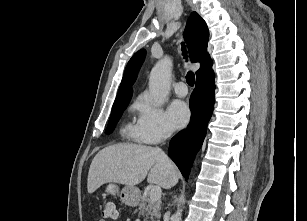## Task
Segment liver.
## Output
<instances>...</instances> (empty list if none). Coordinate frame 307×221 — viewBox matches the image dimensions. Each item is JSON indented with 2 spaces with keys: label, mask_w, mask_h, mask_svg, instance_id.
<instances>
[{
  "label": "liver",
  "mask_w": 307,
  "mask_h": 221,
  "mask_svg": "<svg viewBox=\"0 0 307 221\" xmlns=\"http://www.w3.org/2000/svg\"><path fill=\"white\" fill-rule=\"evenodd\" d=\"M147 175L148 183L164 189L172 188L179 180L177 167L170 159L166 160L159 148L139 144L111 145L100 150L91 162L88 193L95 192L104 183L135 186Z\"/></svg>",
  "instance_id": "obj_1"
}]
</instances>
